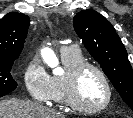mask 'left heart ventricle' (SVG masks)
<instances>
[{"label": "left heart ventricle", "instance_id": "obj_1", "mask_svg": "<svg viewBox=\"0 0 133 118\" xmlns=\"http://www.w3.org/2000/svg\"><path fill=\"white\" fill-rule=\"evenodd\" d=\"M107 96L106 87L97 72L86 70L79 80L78 97L87 107H97L104 103Z\"/></svg>", "mask_w": 133, "mask_h": 118}]
</instances>
